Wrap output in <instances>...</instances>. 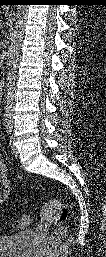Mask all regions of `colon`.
<instances>
[{"label": "colon", "mask_w": 106, "mask_h": 257, "mask_svg": "<svg viewBox=\"0 0 106 257\" xmlns=\"http://www.w3.org/2000/svg\"><path fill=\"white\" fill-rule=\"evenodd\" d=\"M47 209L54 211L55 228L50 235V243H57L61 240L65 233L64 222L69 213L68 205H57L56 203H49ZM31 223V215L23 214L15 223L14 227L24 229Z\"/></svg>", "instance_id": "1"}]
</instances>
